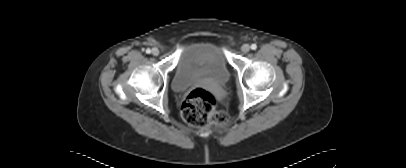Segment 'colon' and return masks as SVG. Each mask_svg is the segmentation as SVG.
<instances>
[{"label": "colon", "mask_w": 406, "mask_h": 168, "mask_svg": "<svg viewBox=\"0 0 406 168\" xmlns=\"http://www.w3.org/2000/svg\"><path fill=\"white\" fill-rule=\"evenodd\" d=\"M216 102L213 92L204 88H196L182 102V117L188 124L197 127L226 124L229 116L224 111L216 110Z\"/></svg>", "instance_id": "colon-1"}]
</instances>
